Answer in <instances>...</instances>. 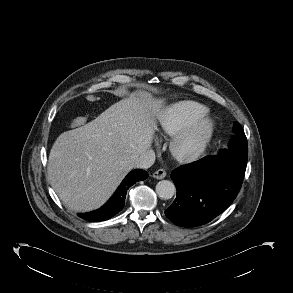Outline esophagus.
I'll return each instance as SVG.
<instances>
[{
  "label": "esophagus",
  "mask_w": 293,
  "mask_h": 293,
  "mask_svg": "<svg viewBox=\"0 0 293 293\" xmlns=\"http://www.w3.org/2000/svg\"><path fill=\"white\" fill-rule=\"evenodd\" d=\"M152 176L156 179H163L166 177V171L164 169H158L152 174Z\"/></svg>",
  "instance_id": "1"
}]
</instances>
